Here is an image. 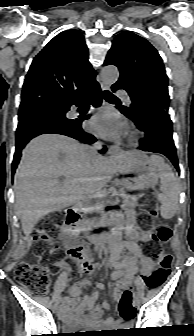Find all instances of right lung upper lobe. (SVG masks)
Instances as JSON below:
<instances>
[{
  "instance_id": "cb5924a9",
  "label": "right lung upper lobe",
  "mask_w": 194,
  "mask_h": 336,
  "mask_svg": "<svg viewBox=\"0 0 194 336\" xmlns=\"http://www.w3.org/2000/svg\"><path fill=\"white\" fill-rule=\"evenodd\" d=\"M84 37L68 30L34 58L26 75L19 110L59 108L95 80Z\"/></svg>"
}]
</instances>
